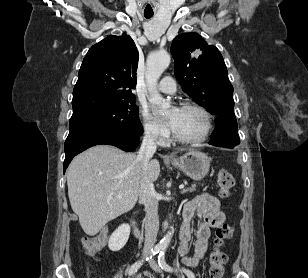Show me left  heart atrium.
<instances>
[{
    "instance_id": "1",
    "label": "left heart atrium",
    "mask_w": 308,
    "mask_h": 278,
    "mask_svg": "<svg viewBox=\"0 0 308 278\" xmlns=\"http://www.w3.org/2000/svg\"><path fill=\"white\" fill-rule=\"evenodd\" d=\"M179 110L178 108H174L172 111H171V114L169 115V117L167 118V125L174 129L175 128V125H176V122H177V118H178V114H179Z\"/></svg>"
}]
</instances>
